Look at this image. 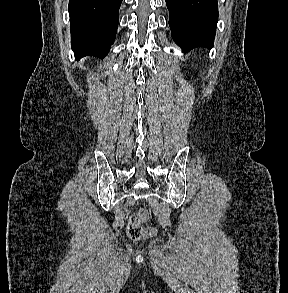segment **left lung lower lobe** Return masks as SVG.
Segmentation results:
<instances>
[{
    "label": "left lung lower lobe",
    "instance_id": "1",
    "mask_svg": "<svg viewBox=\"0 0 288 293\" xmlns=\"http://www.w3.org/2000/svg\"><path fill=\"white\" fill-rule=\"evenodd\" d=\"M175 43L184 53L213 47L218 19L217 0H166Z\"/></svg>",
    "mask_w": 288,
    "mask_h": 293
}]
</instances>
